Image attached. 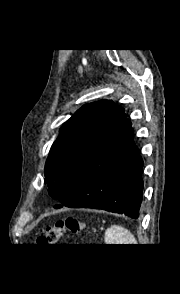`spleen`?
<instances>
[{
	"mask_svg": "<svg viewBox=\"0 0 180 294\" xmlns=\"http://www.w3.org/2000/svg\"><path fill=\"white\" fill-rule=\"evenodd\" d=\"M104 239L107 244H137L134 235L119 225L106 229Z\"/></svg>",
	"mask_w": 180,
	"mask_h": 294,
	"instance_id": "obj_1",
	"label": "spleen"
}]
</instances>
